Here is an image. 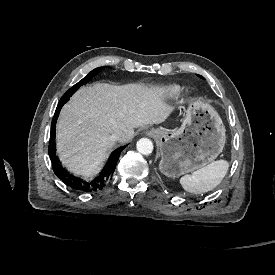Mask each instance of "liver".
Masks as SVG:
<instances>
[{
  "label": "liver",
  "mask_w": 275,
  "mask_h": 275,
  "mask_svg": "<svg viewBox=\"0 0 275 275\" xmlns=\"http://www.w3.org/2000/svg\"><path fill=\"white\" fill-rule=\"evenodd\" d=\"M170 106L159 89L144 84L81 87L65 104L56 125V149L63 166L85 179L100 173L106 151L115 145L110 135L121 130L119 143L134 136V128L160 124Z\"/></svg>",
  "instance_id": "liver-1"
}]
</instances>
